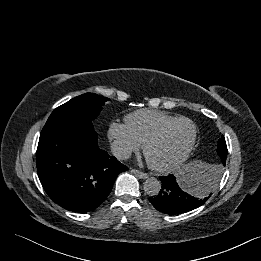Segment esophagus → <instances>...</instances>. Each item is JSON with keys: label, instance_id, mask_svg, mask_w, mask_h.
Returning <instances> with one entry per match:
<instances>
[{"label": "esophagus", "instance_id": "obj_1", "mask_svg": "<svg viewBox=\"0 0 261 261\" xmlns=\"http://www.w3.org/2000/svg\"><path fill=\"white\" fill-rule=\"evenodd\" d=\"M131 172L134 173L137 177H139L141 179H146L148 177L147 173L142 172V171L137 170V169H131Z\"/></svg>", "mask_w": 261, "mask_h": 261}]
</instances>
